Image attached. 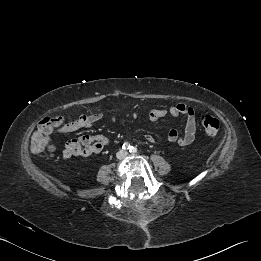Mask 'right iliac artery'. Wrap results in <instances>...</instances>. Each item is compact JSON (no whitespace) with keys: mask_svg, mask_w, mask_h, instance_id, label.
<instances>
[{"mask_svg":"<svg viewBox=\"0 0 261 261\" xmlns=\"http://www.w3.org/2000/svg\"><path fill=\"white\" fill-rule=\"evenodd\" d=\"M122 148L124 149V150H130V148H131V146H130V144H128V143H124L123 144V146H122Z\"/></svg>","mask_w":261,"mask_h":261,"instance_id":"1","label":"right iliac artery"}]
</instances>
